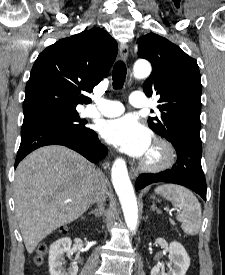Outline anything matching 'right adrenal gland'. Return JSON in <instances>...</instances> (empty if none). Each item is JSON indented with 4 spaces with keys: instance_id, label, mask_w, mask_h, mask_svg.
Segmentation results:
<instances>
[{
    "instance_id": "1",
    "label": "right adrenal gland",
    "mask_w": 225,
    "mask_h": 275,
    "mask_svg": "<svg viewBox=\"0 0 225 275\" xmlns=\"http://www.w3.org/2000/svg\"><path fill=\"white\" fill-rule=\"evenodd\" d=\"M103 206L100 205L97 209L92 210L89 214H93L95 217L99 218L102 214Z\"/></svg>"
}]
</instances>
